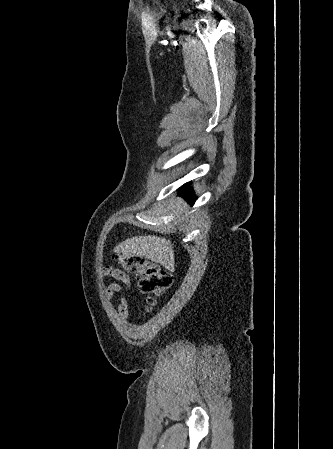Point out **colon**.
Instances as JSON below:
<instances>
[{"instance_id": "obj_1", "label": "colon", "mask_w": 333, "mask_h": 449, "mask_svg": "<svg viewBox=\"0 0 333 449\" xmlns=\"http://www.w3.org/2000/svg\"><path fill=\"white\" fill-rule=\"evenodd\" d=\"M112 259L124 270L139 277L140 291L148 295L147 303L152 306L156 297L161 296L173 284V274L160 265L139 255L126 251H116Z\"/></svg>"}]
</instances>
